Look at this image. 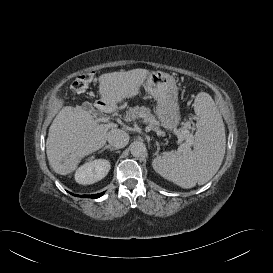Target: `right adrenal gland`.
<instances>
[{
    "mask_svg": "<svg viewBox=\"0 0 273 273\" xmlns=\"http://www.w3.org/2000/svg\"><path fill=\"white\" fill-rule=\"evenodd\" d=\"M105 149H109L110 151L117 150V148L111 147L110 145H106L103 149L100 150V153L103 152Z\"/></svg>",
    "mask_w": 273,
    "mask_h": 273,
    "instance_id": "right-adrenal-gland-1",
    "label": "right adrenal gland"
}]
</instances>
